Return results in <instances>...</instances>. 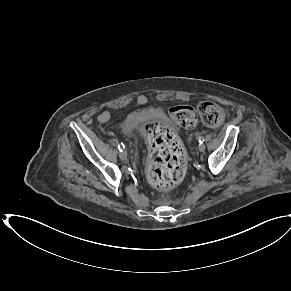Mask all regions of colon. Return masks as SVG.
<instances>
[{
    "instance_id": "5ec220e1",
    "label": "colon",
    "mask_w": 291,
    "mask_h": 291,
    "mask_svg": "<svg viewBox=\"0 0 291 291\" xmlns=\"http://www.w3.org/2000/svg\"><path fill=\"white\" fill-rule=\"evenodd\" d=\"M171 118L183 128H193L199 115L208 126L219 125L224 118L221 106L212 102H201L196 109L188 105H176L169 110ZM150 148L147 177L160 189L172 188L183 181L188 160L185 149L174 132L160 123L146 127Z\"/></svg>"
}]
</instances>
